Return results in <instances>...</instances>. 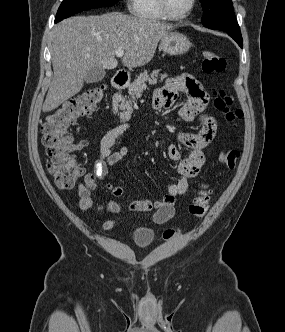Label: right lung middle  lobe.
Returning <instances> with one entry per match:
<instances>
[{
    "instance_id": "right-lung-middle-lobe-1",
    "label": "right lung middle lobe",
    "mask_w": 285,
    "mask_h": 332,
    "mask_svg": "<svg viewBox=\"0 0 285 332\" xmlns=\"http://www.w3.org/2000/svg\"><path fill=\"white\" fill-rule=\"evenodd\" d=\"M117 2L118 0H63L57 11L55 20L61 21L62 19L72 16L83 10L113 6Z\"/></svg>"
}]
</instances>
